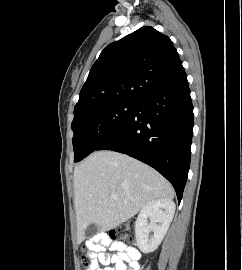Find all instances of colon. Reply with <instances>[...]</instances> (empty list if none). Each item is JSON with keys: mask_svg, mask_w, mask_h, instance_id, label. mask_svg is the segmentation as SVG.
Instances as JSON below:
<instances>
[{"mask_svg": "<svg viewBox=\"0 0 242 270\" xmlns=\"http://www.w3.org/2000/svg\"><path fill=\"white\" fill-rule=\"evenodd\" d=\"M106 236L114 241L133 242L135 240V223L134 221L124 222ZM81 263L88 270L92 261L89 256L85 255L82 256Z\"/></svg>", "mask_w": 242, "mask_h": 270, "instance_id": "obj_1", "label": "colon"}]
</instances>
